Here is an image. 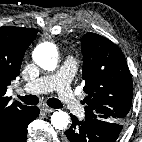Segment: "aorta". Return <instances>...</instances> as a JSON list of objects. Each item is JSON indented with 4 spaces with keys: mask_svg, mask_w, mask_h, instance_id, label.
I'll return each mask as SVG.
<instances>
[{
    "mask_svg": "<svg viewBox=\"0 0 142 142\" xmlns=\"http://www.w3.org/2000/svg\"><path fill=\"white\" fill-rule=\"evenodd\" d=\"M34 61L44 70L53 71L58 64L56 46L50 42L39 44L33 51ZM51 124L55 129L63 130L69 124V115L64 111H56L51 116Z\"/></svg>",
    "mask_w": 142,
    "mask_h": 142,
    "instance_id": "obj_1",
    "label": "aorta"
}]
</instances>
